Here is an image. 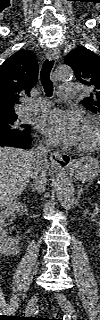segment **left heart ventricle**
<instances>
[{
  "instance_id": "obj_1",
  "label": "left heart ventricle",
  "mask_w": 100,
  "mask_h": 320,
  "mask_svg": "<svg viewBox=\"0 0 100 320\" xmlns=\"http://www.w3.org/2000/svg\"><path fill=\"white\" fill-rule=\"evenodd\" d=\"M92 137L91 131L83 126L82 127V132H81V138H80V144L88 142Z\"/></svg>"
}]
</instances>
